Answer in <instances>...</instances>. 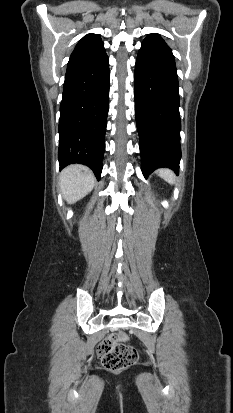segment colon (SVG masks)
I'll list each match as a JSON object with an SVG mask.
<instances>
[{
    "mask_svg": "<svg viewBox=\"0 0 233 413\" xmlns=\"http://www.w3.org/2000/svg\"><path fill=\"white\" fill-rule=\"evenodd\" d=\"M127 337L118 332L104 338L98 345V355L106 369L121 371L138 360L137 350L126 344Z\"/></svg>",
    "mask_w": 233,
    "mask_h": 413,
    "instance_id": "5ec220e1",
    "label": "colon"
}]
</instances>
